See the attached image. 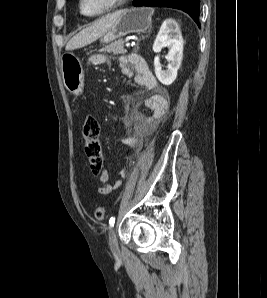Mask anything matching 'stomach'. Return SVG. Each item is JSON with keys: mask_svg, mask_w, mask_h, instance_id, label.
I'll list each match as a JSON object with an SVG mask.
<instances>
[{"mask_svg": "<svg viewBox=\"0 0 267 298\" xmlns=\"http://www.w3.org/2000/svg\"><path fill=\"white\" fill-rule=\"evenodd\" d=\"M152 15L153 10L147 7L121 10L100 41L109 43L130 33H143L149 29ZM61 71L66 89L74 95H80L83 92L84 71L79 59L72 53H65L61 56Z\"/></svg>", "mask_w": 267, "mask_h": 298, "instance_id": "stomach-1", "label": "stomach"}]
</instances>
